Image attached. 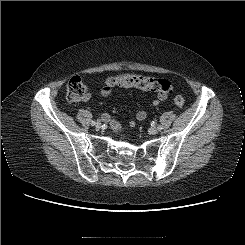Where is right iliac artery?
<instances>
[{"label":"right iliac artery","mask_w":245,"mask_h":245,"mask_svg":"<svg viewBox=\"0 0 245 245\" xmlns=\"http://www.w3.org/2000/svg\"><path fill=\"white\" fill-rule=\"evenodd\" d=\"M98 122H99V121H98ZM91 124H92V125H95V124H96V122H95V121H92V122H91Z\"/></svg>","instance_id":"82829eb1"}]
</instances>
